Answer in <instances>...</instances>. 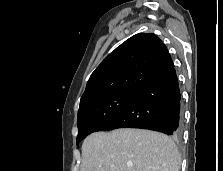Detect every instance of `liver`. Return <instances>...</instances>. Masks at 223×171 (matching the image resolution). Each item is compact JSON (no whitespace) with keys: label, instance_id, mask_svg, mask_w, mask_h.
Returning a JSON list of instances; mask_svg holds the SVG:
<instances>
[{"label":"liver","instance_id":"liver-1","mask_svg":"<svg viewBox=\"0 0 223 171\" xmlns=\"http://www.w3.org/2000/svg\"><path fill=\"white\" fill-rule=\"evenodd\" d=\"M180 166L173 140L155 131L95 132L82 145L81 171H179Z\"/></svg>","mask_w":223,"mask_h":171}]
</instances>
